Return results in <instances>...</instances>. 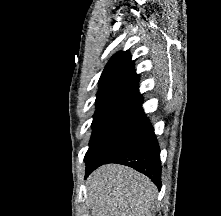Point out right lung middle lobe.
Here are the masks:
<instances>
[{"label":"right lung middle lobe","instance_id":"1","mask_svg":"<svg viewBox=\"0 0 221 216\" xmlns=\"http://www.w3.org/2000/svg\"><path fill=\"white\" fill-rule=\"evenodd\" d=\"M149 126L144 115H119L93 121L86 166L102 164L141 137Z\"/></svg>","mask_w":221,"mask_h":216}]
</instances>
